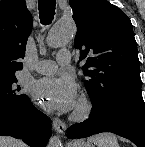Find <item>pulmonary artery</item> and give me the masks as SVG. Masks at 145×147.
<instances>
[{"label": "pulmonary artery", "mask_w": 145, "mask_h": 147, "mask_svg": "<svg viewBox=\"0 0 145 147\" xmlns=\"http://www.w3.org/2000/svg\"><path fill=\"white\" fill-rule=\"evenodd\" d=\"M72 54L70 51H60L56 56V61L41 60L34 69L40 74H52L58 68V65H67L71 61Z\"/></svg>", "instance_id": "obj_1"}]
</instances>
